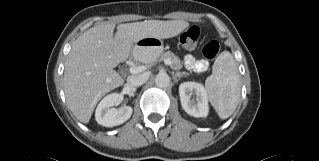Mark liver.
<instances>
[{"instance_id": "liver-1", "label": "liver", "mask_w": 319, "mask_h": 161, "mask_svg": "<svg viewBox=\"0 0 319 161\" xmlns=\"http://www.w3.org/2000/svg\"><path fill=\"white\" fill-rule=\"evenodd\" d=\"M189 26L184 20H147L118 25H96L72 44L64 71V92L69 109L82 123H88L98 101L123 85L124 79L113 69L133 52L140 39H167Z\"/></svg>"}]
</instances>
